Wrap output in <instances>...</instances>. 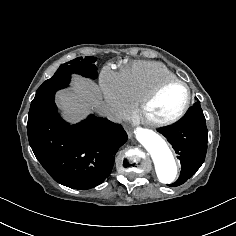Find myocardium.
Instances as JSON below:
<instances>
[{"label":"myocardium","mask_w":236,"mask_h":236,"mask_svg":"<svg viewBox=\"0 0 236 236\" xmlns=\"http://www.w3.org/2000/svg\"><path fill=\"white\" fill-rule=\"evenodd\" d=\"M178 84L185 88L186 90V100L181 108V110L172 118L164 120V121H157L153 120L148 117L147 111L150 105L156 100V98L162 93V91L170 85ZM192 105V90L190 86L181 79L173 78V79H166L158 83L151 91H149L142 100L138 103V113L140 115V121L152 128V129H164L181 121L189 112Z\"/></svg>","instance_id":"obj_1"}]
</instances>
